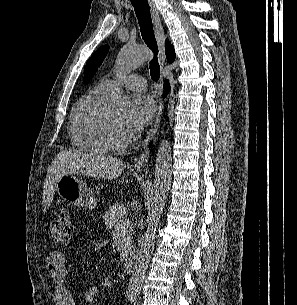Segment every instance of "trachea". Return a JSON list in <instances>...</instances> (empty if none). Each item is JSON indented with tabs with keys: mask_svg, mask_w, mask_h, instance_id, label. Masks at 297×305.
<instances>
[{
	"mask_svg": "<svg viewBox=\"0 0 297 305\" xmlns=\"http://www.w3.org/2000/svg\"><path fill=\"white\" fill-rule=\"evenodd\" d=\"M134 7L139 21L140 31L144 42L154 53V58L150 61L149 69L153 81L160 78V66L157 60L158 47L154 36L153 25L150 15V8L146 0H130Z\"/></svg>",
	"mask_w": 297,
	"mask_h": 305,
	"instance_id": "3493384b",
	"label": "trachea"
}]
</instances>
